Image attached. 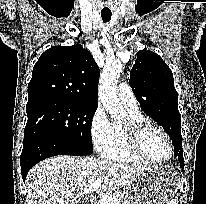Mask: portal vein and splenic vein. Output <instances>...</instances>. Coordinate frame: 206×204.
<instances>
[{
  "label": "portal vein and splenic vein",
  "mask_w": 206,
  "mask_h": 204,
  "mask_svg": "<svg viewBox=\"0 0 206 204\" xmlns=\"http://www.w3.org/2000/svg\"><path fill=\"white\" fill-rule=\"evenodd\" d=\"M102 178H97L96 181L90 184L87 188L84 189V193L89 194L96 191L102 184ZM118 198H112L109 195L102 194L100 199V204H118Z\"/></svg>",
  "instance_id": "1"
}]
</instances>
